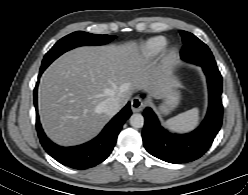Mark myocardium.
I'll return each mask as SVG.
<instances>
[{
  "instance_id": "f54148a6",
  "label": "myocardium",
  "mask_w": 248,
  "mask_h": 195,
  "mask_svg": "<svg viewBox=\"0 0 248 195\" xmlns=\"http://www.w3.org/2000/svg\"><path fill=\"white\" fill-rule=\"evenodd\" d=\"M177 54H178L177 49L176 48H171V49L168 50L166 56H167L168 60L172 61V60H174L176 58Z\"/></svg>"
}]
</instances>
